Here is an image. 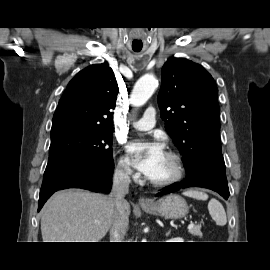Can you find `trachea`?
Returning a JSON list of instances; mask_svg holds the SVG:
<instances>
[{"label":"trachea","instance_id":"obj_1","mask_svg":"<svg viewBox=\"0 0 270 270\" xmlns=\"http://www.w3.org/2000/svg\"><path fill=\"white\" fill-rule=\"evenodd\" d=\"M135 52H139L141 49H133Z\"/></svg>","mask_w":270,"mask_h":270}]
</instances>
